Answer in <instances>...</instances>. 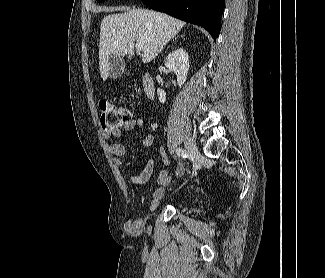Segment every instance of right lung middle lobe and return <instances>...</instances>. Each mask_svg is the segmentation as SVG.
Returning a JSON list of instances; mask_svg holds the SVG:
<instances>
[{
	"mask_svg": "<svg viewBox=\"0 0 325 278\" xmlns=\"http://www.w3.org/2000/svg\"><path fill=\"white\" fill-rule=\"evenodd\" d=\"M98 2H102V1H104V0H97Z\"/></svg>",
	"mask_w": 325,
	"mask_h": 278,
	"instance_id": "dd1d6c3e",
	"label": "right lung middle lobe"
}]
</instances>
